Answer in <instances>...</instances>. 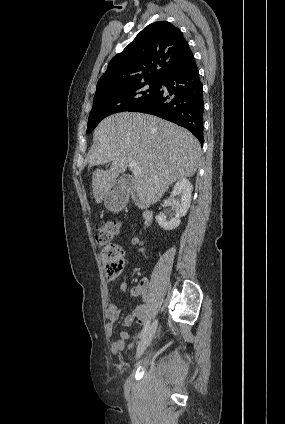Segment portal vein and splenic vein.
I'll list each match as a JSON object with an SVG mask.
<instances>
[{
	"instance_id": "1",
	"label": "portal vein and splenic vein",
	"mask_w": 285,
	"mask_h": 424,
	"mask_svg": "<svg viewBox=\"0 0 285 424\" xmlns=\"http://www.w3.org/2000/svg\"><path fill=\"white\" fill-rule=\"evenodd\" d=\"M128 165H129V167H130V169L132 171V174L135 177H137V176H139L141 174V168L139 166H137V164L135 162L130 161Z\"/></svg>"
}]
</instances>
